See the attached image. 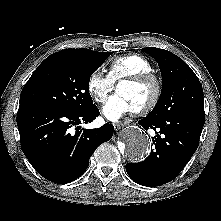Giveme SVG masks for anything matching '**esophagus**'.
Instances as JSON below:
<instances>
[{"instance_id":"obj_1","label":"esophagus","mask_w":221,"mask_h":221,"mask_svg":"<svg viewBox=\"0 0 221 221\" xmlns=\"http://www.w3.org/2000/svg\"><path fill=\"white\" fill-rule=\"evenodd\" d=\"M123 127H124V124H122V123H115L114 124V128L116 131L122 129Z\"/></svg>"}]
</instances>
